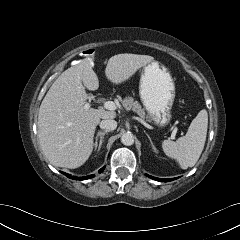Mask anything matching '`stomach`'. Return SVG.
<instances>
[{"label": "stomach", "mask_w": 240, "mask_h": 240, "mask_svg": "<svg viewBox=\"0 0 240 240\" xmlns=\"http://www.w3.org/2000/svg\"><path fill=\"white\" fill-rule=\"evenodd\" d=\"M139 94L152 120L159 126L167 125L172 118L171 109L176 92L174 80L164 65L153 61L144 67Z\"/></svg>", "instance_id": "1"}]
</instances>
